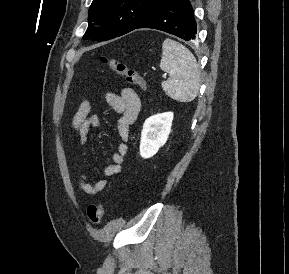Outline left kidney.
Instances as JSON below:
<instances>
[{"mask_svg":"<svg viewBox=\"0 0 289 274\" xmlns=\"http://www.w3.org/2000/svg\"><path fill=\"white\" fill-rule=\"evenodd\" d=\"M173 113L157 114L146 119L141 132L140 155L147 159L162 147L171 132Z\"/></svg>","mask_w":289,"mask_h":274,"instance_id":"1","label":"left kidney"}]
</instances>
